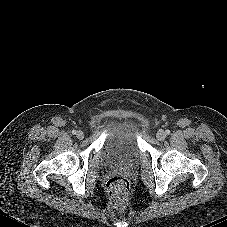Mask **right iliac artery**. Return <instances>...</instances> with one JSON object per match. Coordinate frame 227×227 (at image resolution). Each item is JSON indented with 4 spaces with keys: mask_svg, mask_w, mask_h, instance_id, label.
I'll list each match as a JSON object with an SVG mask.
<instances>
[{
    "mask_svg": "<svg viewBox=\"0 0 227 227\" xmlns=\"http://www.w3.org/2000/svg\"><path fill=\"white\" fill-rule=\"evenodd\" d=\"M76 133H77V131H76V130H72V134H74V135H75Z\"/></svg>",
    "mask_w": 227,
    "mask_h": 227,
    "instance_id": "right-iliac-artery-1",
    "label": "right iliac artery"
}]
</instances>
